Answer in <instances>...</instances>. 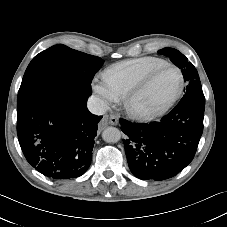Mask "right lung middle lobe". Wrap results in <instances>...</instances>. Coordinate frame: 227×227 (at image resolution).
Here are the masks:
<instances>
[{"label": "right lung middle lobe", "mask_w": 227, "mask_h": 227, "mask_svg": "<svg viewBox=\"0 0 227 227\" xmlns=\"http://www.w3.org/2000/svg\"><path fill=\"white\" fill-rule=\"evenodd\" d=\"M103 60L65 45L52 46L36 55L28 65L17 103L50 88L91 94V81Z\"/></svg>", "instance_id": "1"}]
</instances>
